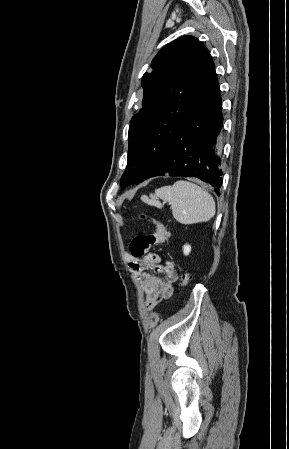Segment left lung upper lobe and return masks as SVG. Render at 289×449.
I'll return each instance as SVG.
<instances>
[{
    "mask_svg": "<svg viewBox=\"0 0 289 449\" xmlns=\"http://www.w3.org/2000/svg\"><path fill=\"white\" fill-rule=\"evenodd\" d=\"M151 67L153 71L142 77L143 108L130 121L122 189L160 172L166 157V140L194 108L214 63L198 39L183 36L163 47Z\"/></svg>",
    "mask_w": 289,
    "mask_h": 449,
    "instance_id": "5c2ea615",
    "label": "left lung upper lobe"
}]
</instances>
